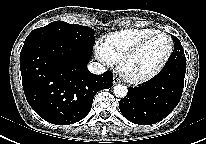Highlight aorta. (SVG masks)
I'll list each match as a JSON object with an SVG mask.
<instances>
[{
    "label": "aorta",
    "instance_id": "aorta-1",
    "mask_svg": "<svg viewBox=\"0 0 206 144\" xmlns=\"http://www.w3.org/2000/svg\"><path fill=\"white\" fill-rule=\"evenodd\" d=\"M128 89L122 84H117L113 88V93L118 98H124L127 95Z\"/></svg>",
    "mask_w": 206,
    "mask_h": 144
}]
</instances>
